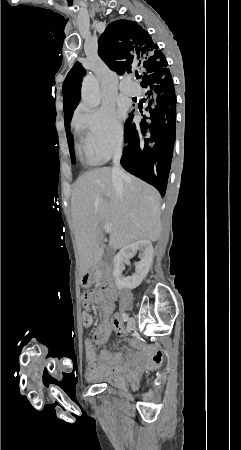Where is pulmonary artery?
<instances>
[{
	"instance_id": "pulmonary-artery-1",
	"label": "pulmonary artery",
	"mask_w": 241,
	"mask_h": 450,
	"mask_svg": "<svg viewBox=\"0 0 241 450\" xmlns=\"http://www.w3.org/2000/svg\"><path fill=\"white\" fill-rule=\"evenodd\" d=\"M133 85V80L131 78H122L120 80L119 90L121 92H126L128 90V87H131Z\"/></svg>"
}]
</instances>
